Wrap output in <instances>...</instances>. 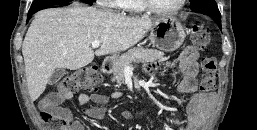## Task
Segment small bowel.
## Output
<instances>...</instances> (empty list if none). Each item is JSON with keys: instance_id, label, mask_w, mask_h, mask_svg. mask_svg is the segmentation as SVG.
Masks as SVG:
<instances>
[{"instance_id": "1", "label": "small bowel", "mask_w": 257, "mask_h": 130, "mask_svg": "<svg viewBox=\"0 0 257 130\" xmlns=\"http://www.w3.org/2000/svg\"><path fill=\"white\" fill-rule=\"evenodd\" d=\"M198 59L199 52L192 46L186 47L178 56L179 69L182 73V78L178 83V92L181 94H191L190 101L187 104V121L186 124L179 128V130H199L203 124L209 106L212 101V96L197 91V74H198ZM156 64L152 63L147 66V70H153ZM121 96L120 92H114L111 95L106 94H80L78 96V105L83 114L96 119L103 120L106 115L105 104L111 98L116 99ZM69 98V97H67ZM66 99L58 93H48L40 101L42 110H51L65 115L70 123L69 130H85L83 123L75 118L69 110L59 107L60 102ZM95 103V106H88L89 103ZM142 112H129L124 113L125 117L129 119H137L142 116Z\"/></svg>"}]
</instances>
